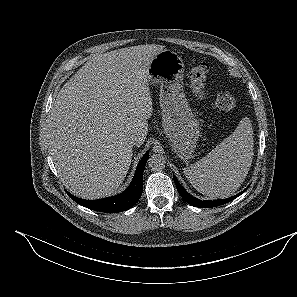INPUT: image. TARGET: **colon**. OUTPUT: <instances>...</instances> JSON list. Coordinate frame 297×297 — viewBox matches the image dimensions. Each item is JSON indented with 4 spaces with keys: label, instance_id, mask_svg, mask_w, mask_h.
Instances as JSON below:
<instances>
[{
    "label": "colon",
    "instance_id": "1",
    "mask_svg": "<svg viewBox=\"0 0 297 297\" xmlns=\"http://www.w3.org/2000/svg\"><path fill=\"white\" fill-rule=\"evenodd\" d=\"M209 72V64L198 62L189 71L190 87L193 94L201 101L206 102L213 109L226 113L231 112L237 107V99L229 93H218L210 96L205 89V80Z\"/></svg>",
    "mask_w": 297,
    "mask_h": 297
}]
</instances>
